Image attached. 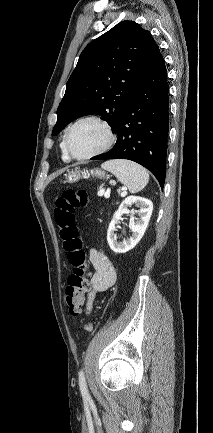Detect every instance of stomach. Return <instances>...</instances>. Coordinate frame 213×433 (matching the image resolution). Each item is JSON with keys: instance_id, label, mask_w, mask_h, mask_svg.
Here are the masks:
<instances>
[{"instance_id": "0dacf381", "label": "stomach", "mask_w": 213, "mask_h": 433, "mask_svg": "<svg viewBox=\"0 0 213 433\" xmlns=\"http://www.w3.org/2000/svg\"><path fill=\"white\" fill-rule=\"evenodd\" d=\"M81 174H82V171H79V170L71 171L68 175H66V181L69 182V183L76 182V181H78L81 178ZM91 174L93 176L95 175V176H97L99 178H104L105 177V172H103V171H101L99 169L91 170Z\"/></svg>"}]
</instances>
